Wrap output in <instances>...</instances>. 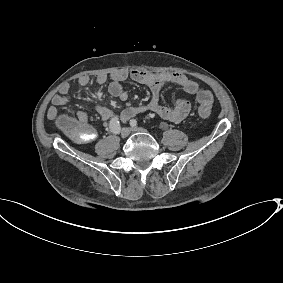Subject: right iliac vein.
<instances>
[{
    "instance_id": "63e3f726",
    "label": "right iliac vein",
    "mask_w": 283,
    "mask_h": 283,
    "mask_svg": "<svg viewBox=\"0 0 283 283\" xmlns=\"http://www.w3.org/2000/svg\"><path fill=\"white\" fill-rule=\"evenodd\" d=\"M129 134H130V129L129 128H127V127L122 128V130H121V137L122 138L128 137Z\"/></svg>"
}]
</instances>
